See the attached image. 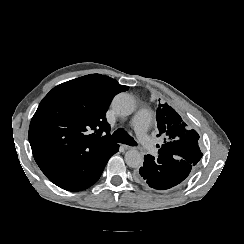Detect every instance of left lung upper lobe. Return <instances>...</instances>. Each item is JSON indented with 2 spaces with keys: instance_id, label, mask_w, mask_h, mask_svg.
Returning <instances> with one entry per match:
<instances>
[{
  "instance_id": "obj_1",
  "label": "left lung upper lobe",
  "mask_w": 244,
  "mask_h": 244,
  "mask_svg": "<svg viewBox=\"0 0 244 244\" xmlns=\"http://www.w3.org/2000/svg\"><path fill=\"white\" fill-rule=\"evenodd\" d=\"M160 134H165L159 154H172L176 159L196 165L202 157L199 135L190 129L180 115L167 103L159 104L156 113Z\"/></svg>"
}]
</instances>
